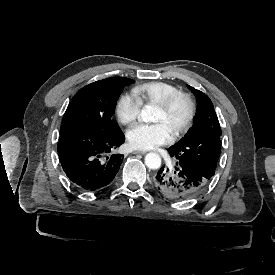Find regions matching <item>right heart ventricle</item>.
Instances as JSON below:
<instances>
[{
    "mask_svg": "<svg viewBox=\"0 0 275 275\" xmlns=\"http://www.w3.org/2000/svg\"><path fill=\"white\" fill-rule=\"evenodd\" d=\"M175 91H177L175 86L159 80L141 83L133 89V93L142 101V103L154 104Z\"/></svg>",
    "mask_w": 275,
    "mask_h": 275,
    "instance_id": "e07e8e85",
    "label": "right heart ventricle"
}]
</instances>
